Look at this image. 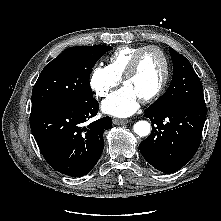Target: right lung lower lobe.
<instances>
[{"label": "right lung lower lobe", "mask_w": 221, "mask_h": 221, "mask_svg": "<svg viewBox=\"0 0 221 221\" xmlns=\"http://www.w3.org/2000/svg\"><path fill=\"white\" fill-rule=\"evenodd\" d=\"M98 109L99 104L93 99L84 103L50 104L31 110L32 133L53 169L71 177L84 176L93 169L103 151V133L112 126L110 117L85 126Z\"/></svg>", "instance_id": "obj_1"}]
</instances>
